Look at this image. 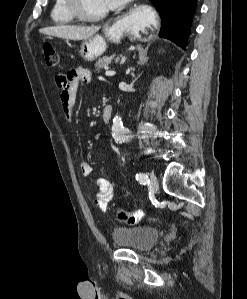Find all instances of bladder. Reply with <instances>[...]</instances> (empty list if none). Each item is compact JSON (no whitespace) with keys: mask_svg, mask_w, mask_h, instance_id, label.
Here are the masks:
<instances>
[{"mask_svg":"<svg viewBox=\"0 0 247 299\" xmlns=\"http://www.w3.org/2000/svg\"><path fill=\"white\" fill-rule=\"evenodd\" d=\"M160 235L157 228L147 225L116 227L112 231V239L116 246L136 252H146L152 249Z\"/></svg>","mask_w":247,"mask_h":299,"instance_id":"1","label":"bladder"}]
</instances>
